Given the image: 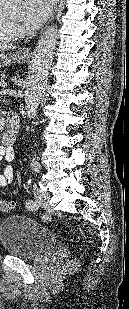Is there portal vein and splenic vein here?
I'll list each match as a JSON object with an SVG mask.
<instances>
[{"label": "portal vein and splenic vein", "mask_w": 129, "mask_h": 309, "mask_svg": "<svg viewBox=\"0 0 129 309\" xmlns=\"http://www.w3.org/2000/svg\"><path fill=\"white\" fill-rule=\"evenodd\" d=\"M0 86L5 87V86H7V83L3 81V82L0 83Z\"/></svg>", "instance_id": "obj_1"}]
</instances>
